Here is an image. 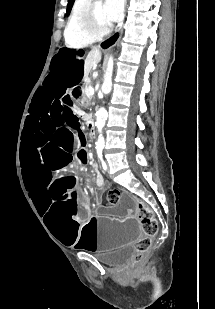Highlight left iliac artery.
<instances>
[{
	"label": "left iliac artery",
	"instance_id": "obj_1",
	"mask_svg": "<svg viewBox=\"0 0 215 309\" xmlns=\"http://www.w3.org/2000/svg\"><path fill=\"white\" fill-rule=\"evenodd\" d=\"M98 157L100 158V160H101V162H102V167H103V170H107V165H106V163H105V161L103 160V158H102V153H99L98 154Z\"/></svg>",
	"mask_w": 215,
	"mask_h": 309
}]
</instances>
